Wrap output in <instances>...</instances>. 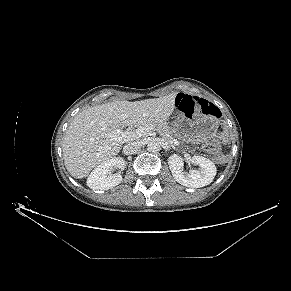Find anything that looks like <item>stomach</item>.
<instances>
[{
	"instance_id": "stomach-1",
	"label": "stomach",
	"mask_w": 291,
	"mask_h": 291,
	"mask_svg": "<svg viewBox=\"0 0 291 291\" xmlns=\"http://www.w3.org/2000/svg\"><path fill=\"white\" fill-rule=\"evenodd\" d=\"M218 124L219 120L210 115L187 118L176 114L172 120L175 130L180 131L185 139L195 141H202L212 137L217 130Z\"/></svg>"
}]
</instances>
